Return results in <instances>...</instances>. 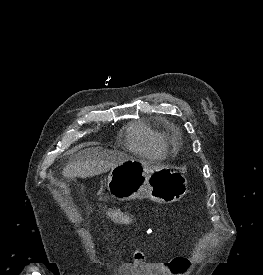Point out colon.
<instances>
[{
    "label": "colon",
    "mask_w": 263,
    "mask_h": 275,
    "mask_svg": "<svg viewBox=\"0 0 263 275\" xmlns=\"http://www.w3.org/2000/svg\"><path fill=\"white\" fill-rule=\"evenodd\" d=\"M105 216L112 222L120 225H130L135 222V218L117 208H106L104 209ZM170 265L173 272H181L186 266H188V261L185 258L177 257L174 258Z\"/></svg>",
    "instance_id": "colon-1"
}]
</instances>
